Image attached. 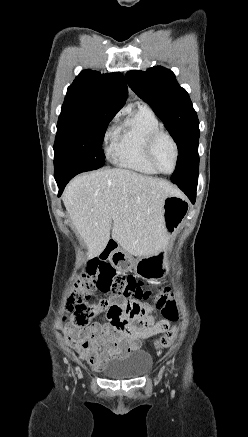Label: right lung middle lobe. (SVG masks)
Segmentation results:
<instances>
[{"instance_id": "obj_1", "label": "right lung middle lobe", "mask_w": 248, "mask_h": 437, "mask_svg": "<svg viewBox=\"0 0 248 437\" xmlns=\"http://www.w3.org/2000/svg\"><path fill=\"white\" fill-rule=\"evenodd\" d=\"M113 117L61 110L54 144L55 168L79 165L95 170L102 167L105 163L102 142Z\"/></svg>"}]
</instances>
